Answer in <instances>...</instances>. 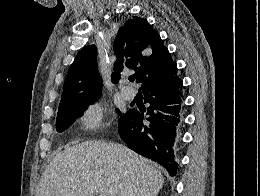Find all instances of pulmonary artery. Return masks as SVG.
I'll return each instance as SVG.
<instances>
[{
    "mask_svg": "<svg viewBox=\"0 0 260 196\" xmlns=\"http://www.w3.org/2000/svg\"><path fill=\"white\" fill-rule=\"evenodd\" d=\"M121 95L126 100H133L136 96V91L132 86H125L121 90Z\"/></svg>",
    "mask_w": 260,
    "mask_h": 196,
    "instance_id": "obj_1",
    "label": "pulmonary artery"
}]
</instances>
